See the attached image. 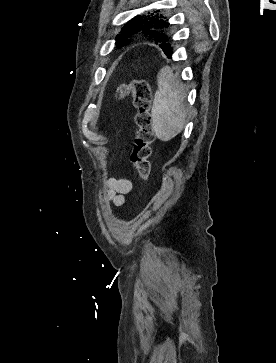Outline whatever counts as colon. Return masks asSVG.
Returning <instances> with one entry per match:
<instances>
[{
	"label": "colon",
	"mask_w": 276,
	"mask_h": 363,
	"mask_svg": "<svg viewBox=\"0 0 276 363\" xmlns=\"http://www.w3.org/2000/svg\"><path fill=\"white\" fill-rule=\"evenodd\" d=\"M131 94L134 106L137 110L135 122L138 127L136 140L131 153V161L142 180L150 176L151 144L155 140L152 125L151 101L152 92L150 84L146 80L137 79L122 84L118 89V96L124 98Z\"/></svg>",
	"instance_id": "obj_1"
}]
</instances>
